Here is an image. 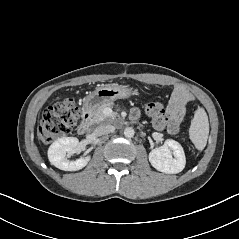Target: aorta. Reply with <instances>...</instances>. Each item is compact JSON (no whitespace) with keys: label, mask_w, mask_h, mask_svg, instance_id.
I'll return each mask as SVG.
<instances>
[{"label":"aorta","mask_w":239,"mask_h":239,"mask_svg":"<svg viewBox=\"0 0 239 239\" xmlns=\"http://www.w3.org/2000/svg\"><path fill=\"white\" fill-rule=\"evenodd\" d=\"M134 129L132 127H126L124 129V135L127 138H132L134 136Z\"/></svg>","instance_id":"1"}]
</instances>
